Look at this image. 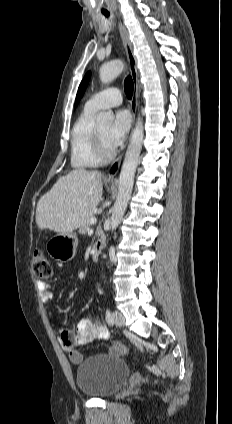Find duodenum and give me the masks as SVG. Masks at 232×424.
<instances>
[{
    "instance_id": "410a0bca",
    "label": "duodenum",
    "mask_w": 232,
    "mask_h": 424,
    "mask_svg": "<svg viewBox=\"0 0 232 424\" xmlns=\"http://www.w3.org/2000/svg\"><path fill=\"white\" fill-rule=\"evenodd\" d=\"M104 244H105V238L102 237V236H100L97 239L96 244H95V247L93 249V255H92L93 261H97L98 260L99 255H100V253H101V251H102V249L104 247Z\"/></svg>"
}]
</instances>
